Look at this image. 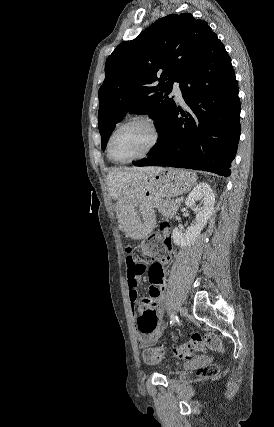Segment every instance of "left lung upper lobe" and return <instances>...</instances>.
Returning <instances> with one entry per match:
<instances>
[{"label": "left lung upper lobe", "instance_id": "1", "mask_svg": "<svg viewBox=\"0 0 274 427\" xmlns=\"http://www.w3.org/2000/svg\"><path fill=\"white\" fill-rule=\"evenodd\" d=\"M215 36L207 22L183 13L163 17L136 39L120 43L106 60L98 92L102 149L128 112L149 114L160 135L174 103L168 97L172 83L180 82Z\"/></svg>", "mask_w": 274, "mask_h": 427}]
</instances>
